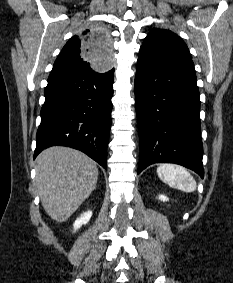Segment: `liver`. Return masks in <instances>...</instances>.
Returning a JSON list of instances; mask_svg holds the SVG:
<instances>
[{"instance_id": "liver-1", "label": "liver", "mask_w": 233, "mask_h": 283, "mask_svg": "<svg viewBox=\"0 0 233 283\" xmlns=\"http://www.w3.org/2000/svg\"><path fill=\"white\" fill-rule=\"evenodd\" d=\"M98 180L96 163L84 153L54 146L36 159V186L46 213L66 221L90 196Z\"/></svg>"}]
</instances>
